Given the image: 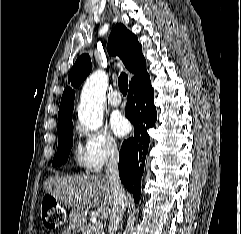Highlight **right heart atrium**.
<instances>
[{
  "instance_id": "right-heart-atrium-1",
  "label": "right heart atrium",
  "mask_w": 241,
  "mask_h": 234,
  "mask_svg": "<svg viewBox=\"0 0 241 234\" xmlns=\"http://www.w3.org/2000/svg\"><path fill=\"white\" fill-rule=\"evenodd\" d=\"M84 138L85 166L92 172L101 171L119 155V143L106 129L87 131L78 129Z\"/></svg>"
}]
</instances>
